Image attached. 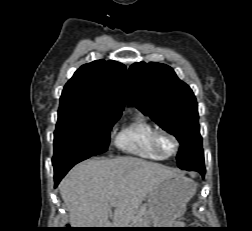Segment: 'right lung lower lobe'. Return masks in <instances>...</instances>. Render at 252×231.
Masks as SVG:
<instances>
[{"label":"right lung lower lobe","instance_id":"right-lung-lower-lobe-1","mask_svg":"<svg viewBox=\"0 0 252 231\" xmlns=\"http://www.w3.org/2000/svg\"><path fill=\"white\" fill-rule=\"evenodd\" d=\"M89 157H84V158H78V159H74L70 162L61 164L59 166L54 167V179H55V186L58 185V183L60 182V180L65 176V174L77 163L87 159Z\"/></svg>","mask_w":252,"mask_h":231}]
</instances>
